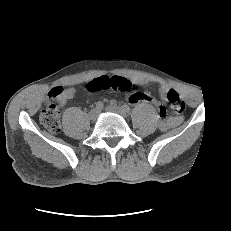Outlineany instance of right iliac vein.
<instances>
[{"label":"right iliac vein","instance_id":"1","mask_svg":"<svg viewBox=\"0 0 231 231\" xmlns=\"http://www.w3.org/2000/svg\"><path fill=\"white\" fill-rule=\"evenodd\" d=\"M99 113L100 112L97 109L91 110L90 113H89L90 119L93 120V121H95L98 118Z\"/></svg>","mask_w":231,"mask_h":231}]
</instances>
